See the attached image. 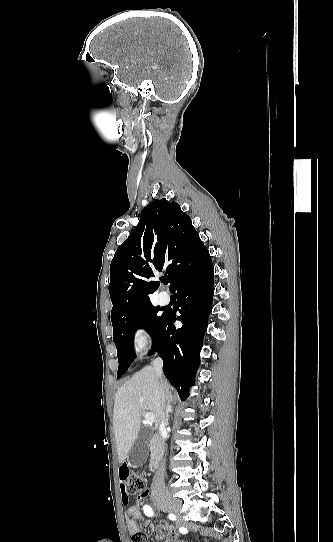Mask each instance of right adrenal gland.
Returning <instances> with one entry per match:
<instances>
[{
  "label": "right adrenal gland",
  "instance_id": "2a0ac1e0",
  "mask_svg": "<svg viewBox=\"0 0 333 542\" xmlns=\"http://www.w3.org/2000/svg\"><path fill=\"white\" fill-rule=\"evenodd\" d=\"M171 402H172V400H170V402H168V404H167V412H166V422H167V424L169 422V414H170V412H173Z\"/></svg>",
  "mask_w": 333,
  "mask_h": 542
}]
</instances>
